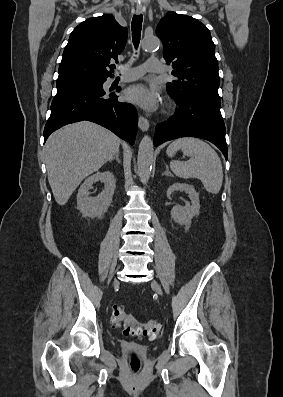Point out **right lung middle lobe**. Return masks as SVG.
Wrapping results in <instances>:
<instances>
[{"label": "right lung middle lobe", "instance_id": "1", "mask_svg": "<svg viewBox=\"0 0 283 397\" xmlns=\"http://www.w3.org/2000/svg\"><path fill=\"white\" fill-rule=\"evenodd\" d=\"M106 79H93V78H77L69 80L56 81L57 91L73 87H102Z\"/></svg>", "mask_w": 283, "mask_h": 397}]
</instances>
